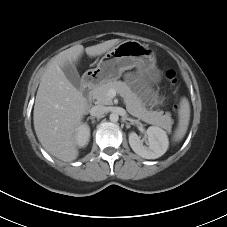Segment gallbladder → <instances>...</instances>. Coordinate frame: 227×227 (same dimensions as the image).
I'll use <instances>...</instances> for the list:
<instances>
[{"instance_id":"gallbladder-1","label":"gallbladder","mask_w":227,"mask_h":227,"mask_svg":"<svg viewBox=\"0 0 227 227\" xmlns=\"http://www.w3.org/2000/svg\"><path fill=\"white\" fill-rule=\"evenodd\" d=\"M62 70L66 78L77 88H81V79L76 67L71 63H66Z\"/></svg>"}]
</instances>
